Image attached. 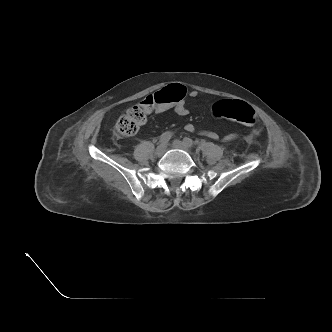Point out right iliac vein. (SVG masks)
I'll return each instance as SVG.
<instances>
[{"label": "right iliac vein", "mask_w": 332, "mask_h": 332, "mask_svg": "<svg viewBox=\"0 0 332 332\" xmlns=\"http://www.w3.org/2000/svg\"><path fill=\"white\" fill-rule=\"evenodd\" d=\"M166 147L167 146L164 143L159 144L155 150V154L159 157L162 156L166 151Z\"/></svg>", "instance_id": "obj_1"}]
</instances>
